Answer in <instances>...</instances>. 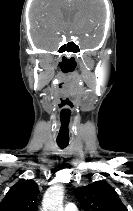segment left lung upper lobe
Listing matches in <instances>:
<instances>
[{
	"mask_svg": "<svg viewBox=\"0 0 133 211\" xmlns=\"http://www.w3.org/2000/svg\"><path fill=\"white\" fill-rule=\"evenodd\" d=\"M84 211H128L114 188L103 181L74 189Z\"/></svg>",
	"mask_w": 133,
	"mask_h": 211,
	"instance_id": "5c2ea615",
	"label": "left lung upper lobe"
}]
</instances>
